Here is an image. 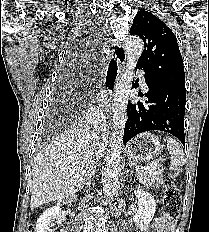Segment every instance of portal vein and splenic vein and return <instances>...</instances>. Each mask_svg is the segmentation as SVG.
<instances>
[{"label":"portal vein and splenic vein","mask_w":209,"mask_h":232,"mask_svg":"<svg viewBox=\"0 0 209 232\" xmlns=\"http://www.w3.org/2000/svg\"><path fill=\"white\" fill-rule=\"evenodd\" d=\"M158 165V163H157V161H154V162H152V164L149 166V167H147V168H156V166ZM142 168V167H141Z\"/></svg>","instance_id":"portal-vein-and-splenic-vein-1"}]
</instances>
